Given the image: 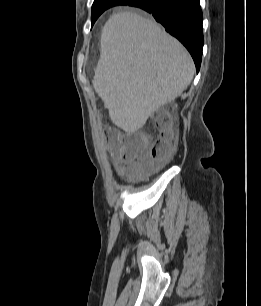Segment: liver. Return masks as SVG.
I'll list each match as a JSON object with an SVG mask.
<instances>
[{"label":"liver","instance_id":"1","mask_svg":"<svg viewBox=\"0 0 261 306\" xmlns=\"http://www.w3.org/2000/svg\"><path fill=\"white\" fill-rule=\"evenodd\" d=\"M194 71L187 50L156 22L119 12L102 29L93 87L111 121L134 133L151 114L182 94Z\"/></svg>","mask_w":261,"mask_h":306}]
</instances>
